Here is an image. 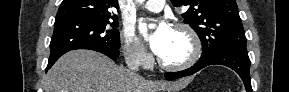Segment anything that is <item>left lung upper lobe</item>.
<instances>
[{"instance_id": "obj_1", "label": "left lung upper lobe", "mask_w": 289, "mask_h": 92, "mask_svg": "<svg viewBox=\"0 0 289 92\" xmlns=\"http://www.w3.org/2000/svg\"><path fill=\"white\" fill-rule=\"evenodd\" d=\"M175 7L190 5L184 23L202 42V56L229 47L246 48V37L235 0H171Z\"/></svg>"}]
</instances>
